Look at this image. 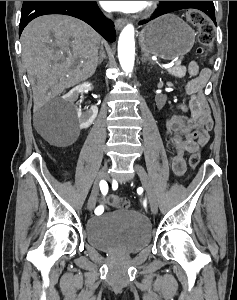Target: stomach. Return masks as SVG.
Returning a JSON list of instances; mask_svg holds the SVG:
<instances>
[{"label":"stomach","mask_w":237,"mask_h":300,"mask_svg":"<svg viewBox=\"0 0 237 300\" xmlns=\"http://www.w3.org/2000/svg\"><path fill=\"white\" fill-rule=\"evenodd\" d=\"M195 37L193 29L182 19L176 15H163L142 29L139 45L149 55L172 61L191 51Z\"/></svg>","instance_id":"stomach-1"}]
</instances>
